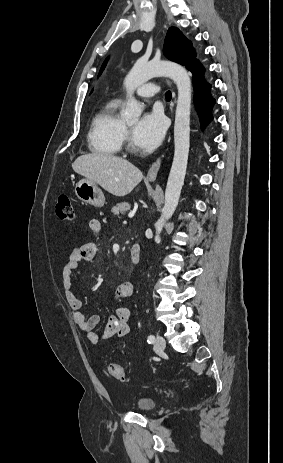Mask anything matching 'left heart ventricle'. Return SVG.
<instances>
[{"label": "left heart ventricle", "instance_id": "obj_1", "mask_svg": "<svg viewBox=\"0 0 283 463\" xmlns=\"http://www.w3.org/2000/svg\"><path fill=\"white\" fill-rule=\"evenodd\" d=\"M127 126H128L130 129H134V127H135V122H128V123H127Z\"/></svg>", "mask_w": 283, "mask_h": 463}]
</instances>
